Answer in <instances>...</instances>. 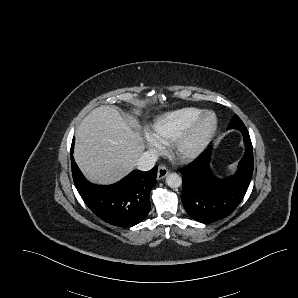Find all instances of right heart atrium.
Returning <instances> with one entry per match:
<instances>
[{"label":"right heart atrium","instance_id":"obj_1","mask_svg":"<svg viewBox=\"0 0 298 298\" xmlns=\"http://www.w3.org/2000/svg\"><path fill=\"white\" fill-rule=\"evenodd\" d=\"M139 136L142 143L155 153H161L166 148V140L162 133L151 126L142 128Z\"/></svg>","mask_w":298,"mask_h":298}]
</instances>
